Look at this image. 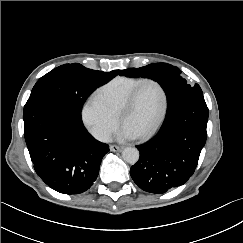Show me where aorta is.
Masks as SVG:
<instances>
[{
	"label": "aorta",
	"instance_id": "762f6f07",
	"mask_svg": "<svg viewBox=\"0 0 243 243\" xmlns=\"http://www.w3.org/2000/svg\"><path fill=\"white\" fill-rule=\"evenodd\" d=\"M139 157V151L135 147H126L122 152V158L129 164L137 163Z\"/></svg>",
	"mask_w": 243,
	"mask_h": 243
}]
</instances>
